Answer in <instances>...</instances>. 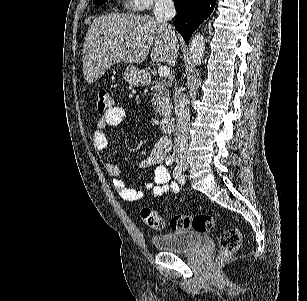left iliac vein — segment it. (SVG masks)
Instances as JSON below:
<instances>
[{"mask_svg":"<svg viewBox=\"0 0 307 301\" xmlns=\"http://www.w3.org/2000/svg\"><path fill=\"white\" fill-rule=\"evenodd\" d=\"M186 168H187V165L184 164L182 169H183V170H186Z\"/></svg>","mask_w":307,"mask_h":301,"instance_id":"1","label":"left iliac vein"}]
</instances>
